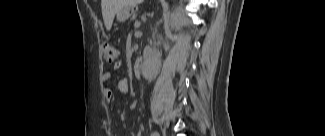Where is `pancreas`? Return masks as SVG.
<instances>
[{"label": "pancreas", "mask_w": 325, "mask_h": 136, "mask_svg": "<svg viewBox=\"0 0 325 136\" xmlns=\"http://www.w3.org/2000/svg\"><path fill=\"white\" fill-rule=\"evenodd\" d=\"M127 23H128L129 25H132V24L134 23V20H133L132 18H129V19L127 20Z\"/></svg>", "instance_id": "cf45deb5"}]
</instances>
